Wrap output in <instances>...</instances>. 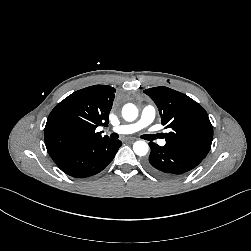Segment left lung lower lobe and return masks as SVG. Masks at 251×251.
<instances>
[{"mask_svg":"<svg viewBox=\"0 0 251 251\" xmlns=\"http://www.w3.org/2000/svg\"><path fill=\"white\" fill-rule=\"evenodd\" d=\"M151 153L146 161L150 173L163 180H173L195 168L203 159L199 154L165 145L163 147L150 142Z\"/></svg>","mask_w":251,"mask_h":251,"instance_id":"left-lung-lower-lobe-1","label":"left lung lower lobe"}]
</instances>
